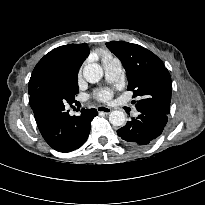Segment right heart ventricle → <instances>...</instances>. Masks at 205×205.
Here are the masks:
<instances>
[{
  "label": "right heart ventricle",
  "mask_w": 205,
  "mask_h": 205,
  "mask_svg": "<svg viewBox=\"0 0 205 205\" xmlns=\"http://www.w3.org/2000/svg\"><path fill=\"white\" fill-rule=\"evenodd\" d=\"M99 56L101 57L103 65L115 59L110 53L106 51H100Z\"/></svg>",
  "instance_id": "obj_1"
}]
</instances>
